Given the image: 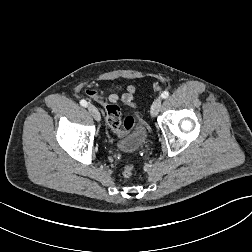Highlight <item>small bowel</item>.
<instances>
[{"label": "small bowel", "instance_id": "c3829d8e", "mask_svg": "<svg viewBox=\"0 0 252 252\" xmlns=\"http://www.w3.org/2000/svg\"><path fill=\"white\" fill-rule=\"evenodd\" d=\"M134 93H135V88L133 86H128L126 91L119 95L117 93H111L108 96V100L114 104V105H124L128 107H133L134 106Z\"/></svg>", "mask_w": 252, "mask_h": 252}]
</instances>
